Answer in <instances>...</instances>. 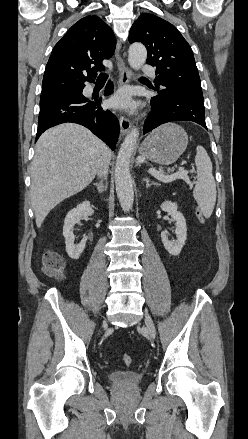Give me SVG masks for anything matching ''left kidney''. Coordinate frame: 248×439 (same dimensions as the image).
<instances>
[{"mask_svg": "<svg viewBox=\"0 0 248 439\" xmlns=\"http://www.w3.org/2000/svg\"><path fill=\"white\" fill-rule=\"evenodd\" d=\"M161 209L168 212L171 215V222H175V233L177 239L175 241L168 240L166 232L161 233L162 243L165 249L172 256H177L180 254L185 241L187 239V225L186 220L181 212L177 210V204L171 201H165L161 204Z\"/></svg>", "mask_w": 248, "mask_h": 439, "instance_id": "left-kidney-1", "label": "left kidney"}]
</instances>
